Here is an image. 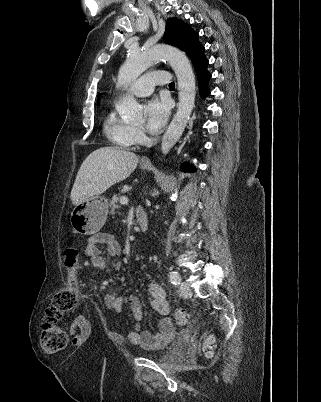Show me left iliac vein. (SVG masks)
<instances>
[{
  "instance_id": "1",
  "label": "left iliac vein",
  "mask_w": 321,
  "mask_h": 402,
  "mask_svg": "<svg viewBox=\"0 0 321 402\" xmlns=\"http://www.w3.org/2000/svg\"><path fill=\"white\" fill-rule=\"evenodd\" d=\"M179 290H180L181 295L185 298H189L192 296V291L190 289V286L185 282L180 283Z\"/></svg>"
}]
</instances>
